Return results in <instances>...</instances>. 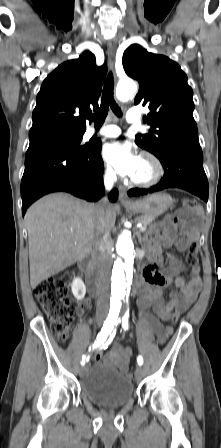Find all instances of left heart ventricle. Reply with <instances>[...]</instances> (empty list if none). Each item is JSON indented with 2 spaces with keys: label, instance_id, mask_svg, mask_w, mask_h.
I'll list each match as a JSON object with an SVG mask.
<instances>
[{
  "label": "left heart ventricle",
  "instance_id": "1",
  "mask_svg": "<svg viewBox=\"0 0 221 448\" xmlns=\"http://www.w3.org/2000/svg\"><path fill=\"white\" fill-rule=\"evenodd\" d=\"M151 174V166L148 162L141 160V164L138 172L135 174L134 178H146Z\"/></svg>",
  "mask_w": 221,
  "mask_h": 448
}]
</instances>
